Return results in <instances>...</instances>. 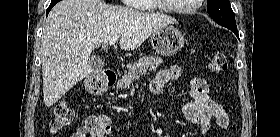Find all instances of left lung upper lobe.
<instances>
[{
	"label": "left lung upper lobe",
	"mask_w": 280,
	"mask_h": 137,
	"mask_svg": "<svg viewBox=\"0 0 280 137\" xmlns=\"http://www.w3.org/2000/svg\"><path fill=\"white\" fill-rule=\"evenodd\" d=\"M207 11L219 25L227 28H237L229 0H207Z\"/></svg>",
	"instance_id": "1"
}]
</instances>
